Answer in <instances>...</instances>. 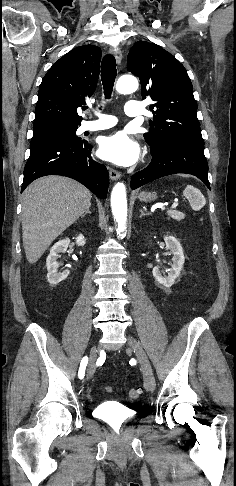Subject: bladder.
<instances>
[{"label":"bladder","mask_w":236,"mask_h":486,"mask_svg":"<svg viewBox=\"0 0 236 486\" xmlns=\"http://www.w3.org/2000/svg\"><path fill=\"white\" fill-rule=\"evenodd\" d=\"M96 416L114 424H122L134 417V413L113 402H102L95 407Z\"/></svg>","instance_id":"obj_1"}]
</instances>
